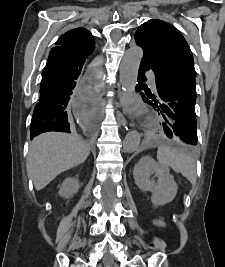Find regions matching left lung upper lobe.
I'll list each match as a JSON object with an SVG mask.
<instances>
[{
	"instance_id": "5c2ea615",
	"label": "left lung upper lobe",
	"mask_w": 225,
	"mask_h": 267,
	"mask_svg": "<svg viewBox=\"0 0 225 267\" xmlns=\"http://www.w3.org/2000/svg\"><path fill=\"white\" fill-rule=\"evenodd\" d=\"M135 42L143 48L144 61L156 72L186 71L196 76L191 50L172 25L158 19L148 20L136 31ZM172 140L186 147L178 138Z\"/></svg>"
}]
</instances>
